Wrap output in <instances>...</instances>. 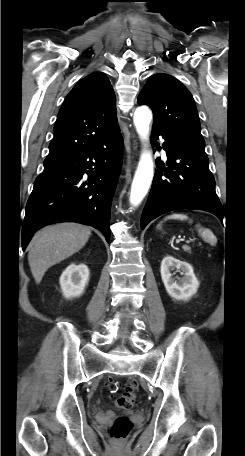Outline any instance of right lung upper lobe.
<instances>
[{
  "instance_id": "obj_1",
  "label": "right lung upper lobe",
  "mask_w": 245,
  "mask_h": 456,
  "mask_svg": "<svg viewBox=\"0 0 245 456\" xmlns=\"http://www.w3.org/2000/svg\"><path fill=\"white\" fill-rule=\"evenodd\" d=\"M115 101L103 73L94 72L79 81L58 113L44 168L64 163L117 132Z\"/></svg>"
}]
</instances>
